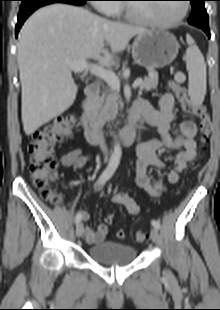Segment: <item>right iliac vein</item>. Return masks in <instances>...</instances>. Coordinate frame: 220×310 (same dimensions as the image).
Returning a JSON list of instances; mask_svg holds the SVG:
<instances>
[{
    "label": "right iliac vein",
    "instance_id": "obj_1",
    "mask_svg": "<svg viewBox=\"0 0 220 310\" xmlns=\"http://www.w3.org/2000/svg\"><path fill=\"white\" fill-rule=\"evenodd\" d=\"M84 232V226L82 223H78L76 226V236L77 237H81L83 235Z\"/></svg>",
    "mask_w": 220,
    "mask_h": 310
}]
</instances>
